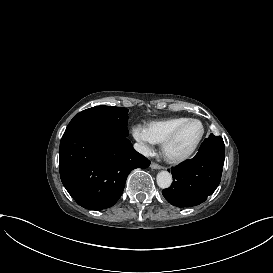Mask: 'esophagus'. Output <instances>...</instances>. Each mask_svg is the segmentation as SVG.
I'll list each match as a JSON object with an SVG mask.
<instances>
[{
  "instance_id": "1",
  "label": "esophagus",
  "mask_w": 273,
  "mask_h": 273,
  "mask_svg": "<svg viewBox=\"0 0 273 273\" xmlns=\"http://www.w3.org/2000/svg\"><path fill=\"white\" fill-rule=\"evenodd\" d=\"M150 167H151L152 169H155V170H159V169L162 168L161 165H159V164H157V163H155V162H152V163L150 164Z\"/></svg>"
}]
</instances>
